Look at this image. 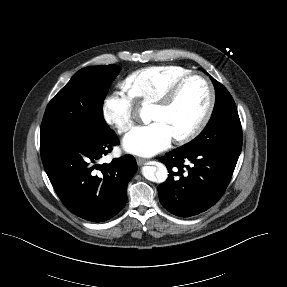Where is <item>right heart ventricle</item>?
<instances>
[{
    "label": "right heart ventricle",
    "instance_id": "obj_1",
    "mask_svg": "<svg viewBox=\"0 0 287 287\" xmlns=\"http://www.w3.org/2000/svg\"><path fill=\"white\" fill-rule=\"evenodd\" d=\"M178 65L151 66L131 73L126 87L135 99L154 103L181 77L190 73Z\"/></svg>",
    "mask_w": 287,
    "mask_h": 287
}]
</instances>
